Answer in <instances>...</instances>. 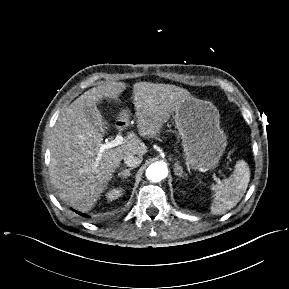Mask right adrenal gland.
<instances>
[{
	"mask_svg": "<svg viewBox=\"0 0 289 289\" xmlns=\"http://www.w3.org/2000/svg\"><path fill=\"white\" fill-rule=\"evenodd\" d=\"M133 168H129V169H123L121 172L118 173V177H121V178H128L131 174H130V171L132 170Z\"/></svg>",
	"mask_w": 289,
	"mask_h": 289,
	"instance_id": "2a0ac1e0",
	"label": "right adrenal gland"
}]
</instances>
